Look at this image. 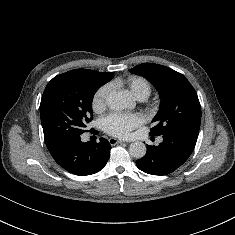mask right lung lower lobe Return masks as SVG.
I'll return each mask as SVG.
<instances>
[{
    "mask_svg": "<svg viewBox=\"0 0 235 235\" xmlns=\"http://www.w3.org/2000/svg\"><path fill=\"white\" fill-rule=\"evenodd\" d=\"M80 135L71 134L48 147V150L54 160L67 171L80 176L91 175L106 165L111 145L104 138H100L98 143H83Z\"/></svg>",
    "mask_w": 235,
    "mask_h": 235,
    "instance_id": "1",
    "label": "right lung lower lobe"
}]
</instances>
